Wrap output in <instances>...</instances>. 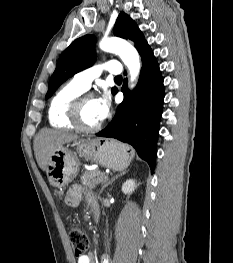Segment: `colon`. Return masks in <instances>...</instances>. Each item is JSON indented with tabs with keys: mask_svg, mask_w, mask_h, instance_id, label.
Instances as JSON below:
<instances>
[{
	"mask_svg": "<svg viewBox=\"0 0 233 263\" xmlns=\"http://www.w3.org/2000/svg\"><path fill=\"white\" fill-rule=\"evenodd\" d=\"M69 238L74 255L77 258L84 256L89 247V240L86 233L80 228L72 227L69 230Z\"/></svg>",
	"mask_w": 233,
	"mask_h": 263,
	"instance_id": "obj_1",
	"label": "colon"
}]
</instances>
